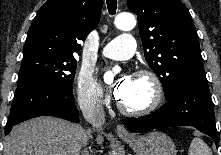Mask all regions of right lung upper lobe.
I'll list each match as a JSON object with an SVG mask.
<instances>
[{"label":"right lung upper lobe","mask_w":221,"mask_h":155,"mask_svg":"<svg viewBox=\"0 0 221 155\" xmlns=\"http://www.w3.org/2000/svg\"><path fill=\"white\" fill-rule=\"evenodd\" d=\"M102 6V0H48L29 28L24 56L47 53L74 58L79 41L97 26Z\"/></svg>","instance_id":"1"}]
</instances>
